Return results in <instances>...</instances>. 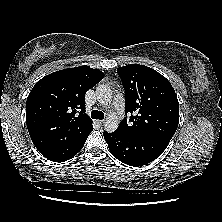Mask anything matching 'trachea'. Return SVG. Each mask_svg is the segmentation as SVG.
I'll use <instances>...</instances> for the list:
<instances>
[{
    "label": "trachea",
    "instance_id": "1",
    "mask_svg": "<svg viewBox=\"0 0 222 222\" xmlns=\"http://www.w3.org/2000/svg\"><path fill=\"white\" fill-rule=\"evenodd\" d=\"M91 117L93 119H99V120H102L104 119V113L102 111H98V110H93L91 112Z\"/></svg>",
    "mask_w": 222,
    "mask_h": 222
}]
</instances>
